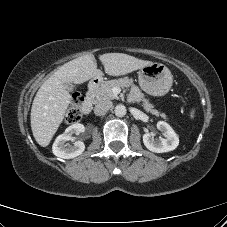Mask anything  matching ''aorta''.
<instances>
[{
  "label": "aorta",
  "instance_id": "762f6f07",
  "mask_svg": "<svg viewBox=\"0 0 227 227\" xmlns=\"http://www.w3.org/2000/svg\"><path fill=\"white\" fill-rule=\"evenodd\" d=\"M115 115L118 117H123L126 115V107L122 104H119L115 107Z\"/></svg>",
  "mask_w": 227,
  "mask_h": 227
}]
</instances>
